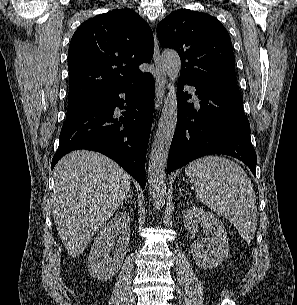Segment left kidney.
<instances>
[{"label": "left kidney", "mask_w": 297, "mask_h": 305, "mask_svg": "<svg viewBox=\"0 0 297 305\" xmlns=\"http://www.w3.org/2000/svg\"><path fill=\"white\" fill-rule=\"evenodd\" d=\"M184 227L195 233L201 224L211 236L203 241H194L191 253L195 263L204 269L220 265L228 256L229 244L226 229L217 217L195 206L188 208L183 214Z\"/></svg>", "instance_id": "left-kidney-1"}]
</instances>
